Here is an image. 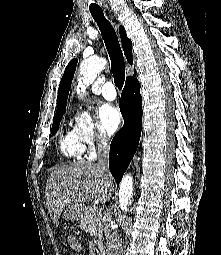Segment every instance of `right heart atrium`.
Returning <instances> with one entry per match:
<instances>
[{"label": "right heart atrium", "mask_w": 221, "mask_h": 255, "mask_svg": "<svg viewBox=\"0 0 221 255\" xmlns=\"http://www.w3.org/2000/svg\"><path fill=\"white\" fill-rule=\"evenodd\" d=\"M74 129L89 153H94L96 146H101L107 141L106 134L87 111L79 110L74 117Z\"/></svg>", "instance_id": "obj_1"}]
</instances>
